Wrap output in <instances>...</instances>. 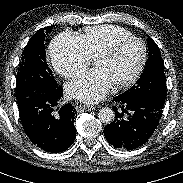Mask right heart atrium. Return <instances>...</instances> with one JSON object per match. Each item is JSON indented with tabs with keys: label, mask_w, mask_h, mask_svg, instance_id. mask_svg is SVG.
<instances>
[{
	"label": "right heart atrium",
	"mask_w": 183,
	"mask_h": 183,
	"mask_svg": "<svg viewBox=\"0 0 183 183\" xmlns=\"http://www.w3.org/2000/svg\"><path fill=\"white\" fill-rule=\"evenodd\" d=\"M50 56L56 72L65 78L77 77L91 61L79 37L70 32H63L52 40Z\"/></svg>",
	"instance_id": "right-heart-atrium-1"
}]
</instances>
